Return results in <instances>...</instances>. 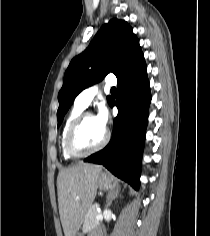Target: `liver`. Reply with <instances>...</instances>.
<instances>
[{
    "mask_svg": "<svg viewBox=\"0 0 210 236\" xmlns=\"http://www.w3.org/2000/svg\"><path fill=\"white\" fill-rule=\"evenodd\" d=\"M101 171L100 165L79 162L59 172L58 206L65 236H75L80 229L95 199Z\"/></svg>",
    "mask_w": 210,
    "mask_h": 236,
    "instance_id": "obj_1",
    "label": "liver"
}]
</instances>
